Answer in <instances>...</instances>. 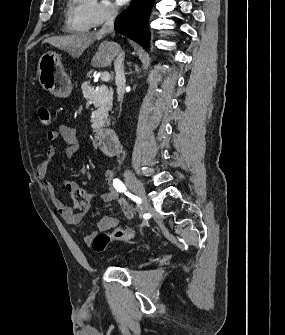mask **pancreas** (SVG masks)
<instances>
[{
	"mask_svg": "<svg viewBox=\"0 0 285 335\" xmlns=\"http://www.w3.org/2000/svg\"><path fill=\"white\" fill-rule=\"evenodd\" d=\"M89 85V86H88ZM83 93H93L94 88L91 85V79L86 77L84 82L81 84ZM92 102L97 108L92 112L94 118H92V125H106L109 126L108 120L109 112L113 106V94L108 90L107 86H100L98 92H94Z\"/></svg>",
	"mask_w": 285,
	"mask_h": 335,
	"instance_id": "1",
	"label": "pancreas"
}]
</instances>
